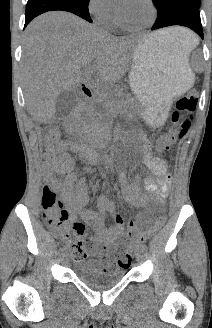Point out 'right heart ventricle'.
Instances as JSON below:
<instances>
[{
	"label": "right heart ventricle",
	"mask_w": 212,
	"mask_h": 328,
	"mask_svg": "<svg viewBox=\"0 0 212 328\" xmlns=\"http://www.w3.org/2000/svg\"><path fill=\"white\" fill-rule=\"evenodd\" d=\"M105 26L107 27H111V28H114V27H118L120 24L118 23L117 19L114 18V17H111L109 18L107 21H105L103 23Z\"/></svg>",
	"instance_id": "e07e8e85"
}]
</instances>
